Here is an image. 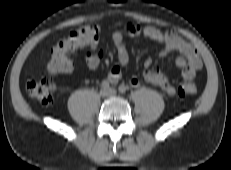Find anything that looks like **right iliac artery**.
<instances>
[{"label":"right iliac artery","instance_id":"right-iliac-artery-1","mask_svg":"<svg viewBox=\"0 0 231 170\" xmlns=\"http://www.w3.org/2000/svg\"><path fill=\"white\" fill-rule=\"evenodd\" d=\"M101 86H102L104 89H107V88H109V82L106 81V80H104V81H102Z\"/></svg>","mask_w":231,"mask_h":170}]
</instances>
